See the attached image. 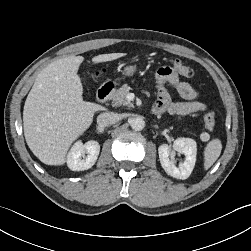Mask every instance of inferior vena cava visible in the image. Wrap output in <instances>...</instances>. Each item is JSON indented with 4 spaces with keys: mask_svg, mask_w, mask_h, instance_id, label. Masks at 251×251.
Instances as JSON below:
<instances>
[{
    "mask_svg": "<svg viewBox=\"0 0 251 251\" xmlns=\"http://www.w3.org/2000/svg\"><path fill=\"white\" fill-rule=\"evenodd\" d=\"M117 122L118 116L113 112H104L97 117V123L100 127H108Z\"/></svg>",
    "mask_w": 251,
    "mask_h": 251,
    "instance_id": "602c4592",
    "label": "inferior vena cava"
}]
</instances>
